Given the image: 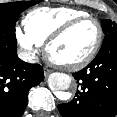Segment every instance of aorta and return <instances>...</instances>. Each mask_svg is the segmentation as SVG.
I'll use <instances>...</instances> for the list:
<instances>
[{
    "instance_id": "aorta-1",
    "label": "aorta",
    "mask_w": 117,
    "mask_h": 117,
    "mask_svg": "<svg viewBox=\"0 0 117 117\" xmlns=\"http://www.w3.org/2000/svg\"><path fill=\"white\" fill-rule=\"evenodd\" d=\"M71 83V77L65 73L55 72L48 77L49 88L54 91L61 100L70 98L69 93L65 92V90L69 89Z\"/></svg>"
}]
</instances>
